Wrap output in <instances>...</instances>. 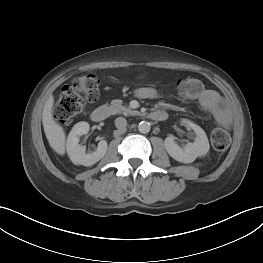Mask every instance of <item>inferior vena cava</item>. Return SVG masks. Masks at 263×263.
<instances>
[{
  "mask_svg": "<svg viewBox=\"0 0 263 263\" xmlns=\"http://www.w3.org/2000/svg\"><path fill=\"white\" fill-rule=\"evenodd\" d=\"M115 126L117 129L124 131L126 129V126H127V120L123 117H118L115 120Z\"/></svg>",
  "mask_w": 263,
  "mask_h": 263,
  "instance_id": "inferior-vena-cava-1",
  "label": "inferior vena cava"
}]
</instances>
